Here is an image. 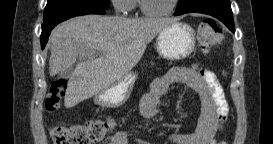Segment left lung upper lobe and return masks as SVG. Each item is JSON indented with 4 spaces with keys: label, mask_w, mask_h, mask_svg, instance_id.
<instances>
[{
    "label": "left lung upper lobe",
    "mask_w": 273,
    "mask_h": 144,
    "mask_svg": "<svg viewBox=\"0 0 273 144\" xmlns=\"http://www.w3.org/2000/svg\"><path fill=\"white\" fill-rule=\"evenodd\" d=\"M191 1L192 0H179L176 10L181 11L182 9L186 8L187 6H189Z\"/></svg>",
    "instance_id": "5c2ea615"
}]
</instances>
